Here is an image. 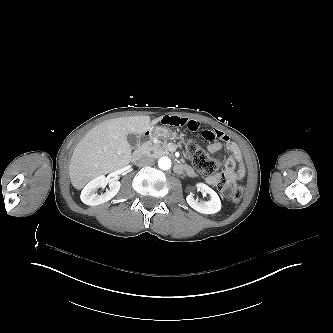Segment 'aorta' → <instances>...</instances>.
I'll list each match as a JSON object with an SVG mask.
<instances>
[{"instance_id": "762f6f07", "label": "aorta", "mask_w": 333, "mask_h": 333, "mask_svg": "<svg viewBox=\"0 0 333 333\" xmlns=\"http://www.w3.org/2000/svg\"><path fill=\"white\" fill-rule=\"evenodd\" d=\"M158 166L163 170H168L171 167V160L168 157H162L158 161Z\"/></svg>"}]
</instances>
